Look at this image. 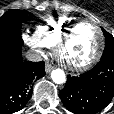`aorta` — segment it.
I'll use <instances>...</instances> for the list:
<instances>
[{
  "instance_id": "aorta-1",
  "label": "aorta",
  "mask_w": 114,
  "mask_h": 114,
  "mask_svg": "<svg viewBox=\"0 0 114 114\" xmlns=\"http://www.w3.org/2000/svg\"><path fill=\"white\" fill-rule=\"evenodd\" d=\"M51 78L56 84H63L66 81V75L63 70L55 69L51 73Z\"/></svg>"
}]
</instances>
